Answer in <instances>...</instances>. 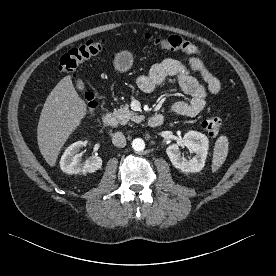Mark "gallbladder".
Instances as JSON below:
<instances>
[{
	"label": "gallbladder",
	"mask_w": 276,
	"mask_h": 276,
	"mask_svg": "<svg viewBox=\"0 0 276 276\" xmlns=\"http://www.w3.org/2000/svg\"><path fill=\"white\" fill-rule=\"evenodd\" d=\"M76 87L79 91L83 92L85 90V86L82 80H77Z\"/></svg>",
	"instance_id": "obj_1"
}]
</instances>
